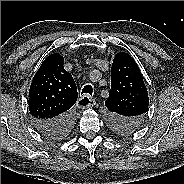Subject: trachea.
<instances>
[{
    "label": "trachea",
    "mask_w": 184,
    "mask_h": 184,
    "mask_svg": "<svg viewBox=\"0 0 184 184\" xmlns=\"http://www.w3.org/2000/svg\"><path fill=\"white\" fill-rule=\"evenodd\" d=\"M84 93H88V94L92 95V93H93L92 86L89 85V84L88 85H85L84 88L82 89L81 94H84Z\"/></svg>",
    "instance_id": "1"
}]
</instances>
